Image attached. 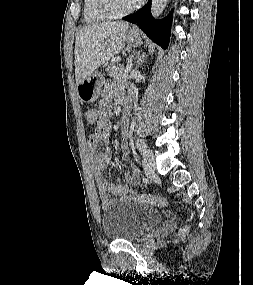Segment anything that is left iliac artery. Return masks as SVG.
<instances>
[{"label":"left iliac artery","mask_w":253,"mask_h":285,"mask_svg":"<svg viewBox=\"0 0 253 285\" xmlns=\"http://www.w3.org/2000/svg\"><path fill=\"white\" fill-rule=\"evenodd\" d=\"M136 144H137V147L139 149V151L144 155L146 154V151H147V147L145 145V143L141 140V139H137L136 140Z\"/></svg>","instance_id":"obj_1"}]
</instances>
